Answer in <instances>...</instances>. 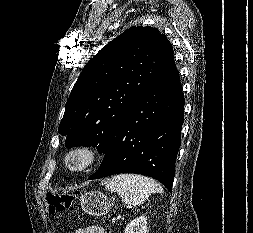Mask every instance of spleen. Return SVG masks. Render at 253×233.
<instances>
[{"instance_id": "1", "label": "spleen", "mask_w": 253, "mask_h": 233, "mask_svg": "<svg viewBox=\"0 0 253 233\" xmlns=\"http://www.w3.org/2000/svg\"><path fill=\"white\" fill-rule=\"evenodd\" d=\"M105 188L117 192L123 202L133 206L143 204L151 193H163V188L158 182L138 174L114 176Z\"/></svg>"}]
</instances>
